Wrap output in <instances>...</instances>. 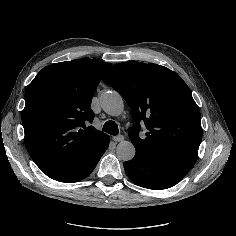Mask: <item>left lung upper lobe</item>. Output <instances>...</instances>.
Listing matches in <instances>:
<instances>
[{
	"label": "left lung upper lobe",
	"mask_w": 236,
	"mask_h": 236,
	"mask_svg": "<svg viewBox=\"0 0 236 236\" xmlns=\"http://www.w3.org/2000/svg\"><path fill=\"white\" fill-rule=\"evenodd\" d=\"M103 81L132 110L129 137L135 148L186 175L196 162L202 128L200 110L181 77L157 64L127 62L115 64ZM140 123L147 129L144 139Z\"/></svg>",
	"instance_id": "5c2ea615"
}]
</instances>
